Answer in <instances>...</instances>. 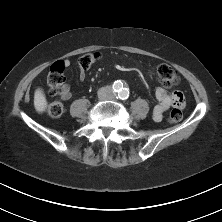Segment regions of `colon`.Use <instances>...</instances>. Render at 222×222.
<instances>
[{
  "mask_svg": "<svg viewBox=\"0 0 222 222\" xmlns=\"http://www.w3.org/2000/svg\"><path fill=\"white\" fill-rule=\"evenodd\" d=\"M101 55L99 52H88L83 54L78 59V64L81 69L87 70L91 68L96 62L99 61ZM64 61H56L52 64L50 72L48 75L47 83L50 93L59 97L64 92V70H65ZM156 76L159 81L166 87H172L179 83V76L176 70L167 64L159 65L156 68ZM46 113L50 117H59L64 112V106L61 101L54 100L45 105ZM183 117L182 108L179 110L173 109L168 117L170 123H177Z\"/></svg>",
  "mask_w": 222,
  "mask_h": 222,
  "instance_id": "obj_1",
  "label": "colon"
}]
</instances>
